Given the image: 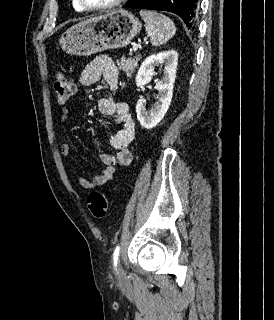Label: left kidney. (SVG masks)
<instances>
[{
	"label": "left kidney",
	"instance_id": "obj_1",
	"mask_svg": "<svg viewBox=\"0 0 274 320\" xmlns=\"http://www.w3.org/2000/svg\"><path fill=\"white\" fill-rule=\"evenodd\" d=\"M178 54L175 50H166L160 54H153L144 60L138 74L136 76L137 88H143L149 84L154 76L155 66L163 68V78L160 82H156L155 90H158V100L151 110H146L145 100H138L136 104L137 118L146 130L156 128L157 124L164 118L172 100L173 84L176 78Z\"/></svg>",
	"mask_w": 274,
	"mask_h": 320
}]
</instances>
